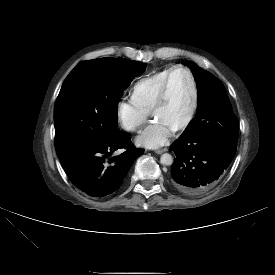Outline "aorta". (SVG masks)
Here are the masks:
<instances>
[{
	"label": "aorta",
	"mask_w": 275,
	"mask_h": 275,
	"mask_svg": "<svg viewBox=\"0 0 275 275\" xmlns=\"http://www.w3.org/2000/svg\"><path fill=\"white\" fill-rule=\"evenodd\" d=\"M160 163L166 166H170L173 163V157L169 153H164L160 157Z\"/></svg>",
	"instance_id": "762f6f07"
}]
</instances>
